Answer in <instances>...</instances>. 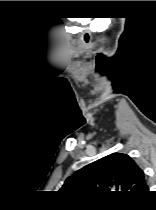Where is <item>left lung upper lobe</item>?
I'll use <instances>...</instances> for the list:
<instances>
[{
  "mask_svg": "<svg viewBox=\"0 0 156 210\" xmlns=\"http://www.w3.org/2000/svg\"><path fill=\"white\" fill-rule=\"evenodd\" d=\"M61 191L67 193H120L138 196L148 192L144 172L126 154L105 156L67 178Z\"/></svg>",
  "mask_w": 156,
  "mask_h": 210,
  "instance_id": "1",
  "label": "left lung upper lobe"
}]
</instances>
